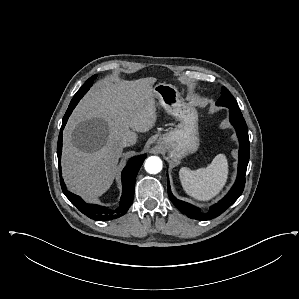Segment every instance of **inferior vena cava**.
I'll list each match as a JSON object with an SVG mask.
<instances>
[{"instance_id": "1", "label": "inferior vena cava", "mask_w": 299, "mask_h": 299, "mask_svg": "<svg viewBox=\"0 0 299 299\" xmlns=\"http://www.w3.org/2000/svg\"><path fill=\"white\" fill-rule=\"evenodd\" d=\"M137 141V135L134 132L129 131L123 138L122 144L124 147L134 145Z\"/></svg>"}]
</instances>
